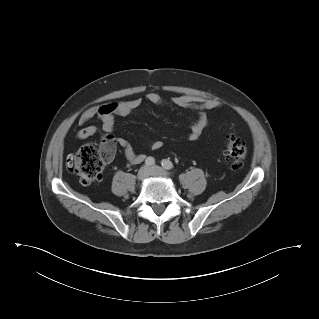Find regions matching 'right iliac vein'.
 I'll return each instance as SVG.
<instances>
[{
	"label": "right iliac vein",
	"mask_w": 319,
	"mask_h": 319,
	"mask_svg": "<svg viewBox=\"0 0 319 319\" xmlns=\"http://www.w3.org/2000/svg\"><path fill=\"white\" fill-rule=\"evenodd\" d=\"M150 174V169L147 166H143L139 169L137 173V179L139 181L145 180Z\"/></svg>",
	"instance_id": "obj_1"
}]
</instances>
